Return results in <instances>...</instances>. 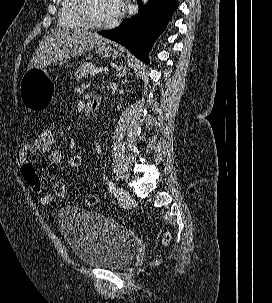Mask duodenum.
<instances>
[{
    "instance_id": "410a0bca",
    "label": "duodenum",
    "mask_w": 272,
    "mask_h": 303,
    "mask_svg": "<svg viewBox=\"0 0 272 303\" xmlns=\"http://www.w3.org/2000/svg\"><path fill=\"white\" fill-rule=\"evenodd\" d=\"M101 105V98L100 97H94L87 105V111L88 112H94L99 109Z\"/></svg>"
}]
</instances>
